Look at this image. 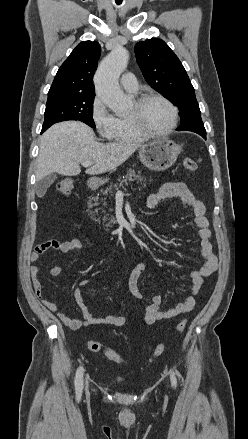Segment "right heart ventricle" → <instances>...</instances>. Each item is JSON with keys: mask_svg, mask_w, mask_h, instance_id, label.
Instances as JSON below:
<instances>
[{"mask_svg": "<svg viewBox=\"0 0 248 439\" xmlns=\"http://www.w3.org/2000/svg\"><path fill=\"white\" fill-rule=\"evenodd\" d=\"M111 139L117 143H141L146 141L147 137L134 128L129 116H122L118 118L117 127Z\"/></svg>", "mask_w": 248, "mask_h": 439, "instance_id": "obj_1", "label": "right heart ventricle"}]
</instances>
